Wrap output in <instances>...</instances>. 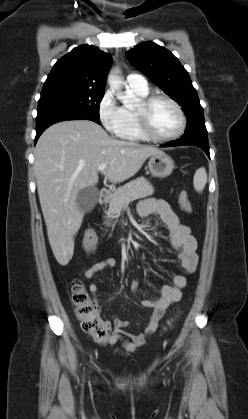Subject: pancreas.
Instances as JSON below:
<instances>
[{
    "instance_id": "obj_1",
    "label": "pancreas",
    "mask_w": 248,
    "mask_h": 419,
    "mask_svg": "<svg viewBox=\"0 0 248 419\" xmlns=\"http://www.w3.org/2000/svg\"><path fill=\"white\" fill-rule=\"evenodd\" d=\"M153 193V186L142 176L126 183L114 190L111 194L106 218H115L121 212L125 204L139 198L151 196ZM105 224L107 226L110 225L109 222H105Z\"/></svg>"
}]
</instances>
